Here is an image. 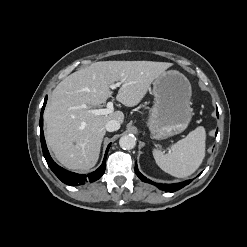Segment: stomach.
<instances>
[{
  "label": "stomach",
  "instance_id": "1",
  "mask_svg": "<svg viewBox=\"0 0 247 247\" xmlns=\"http://www.w3.org/2000/svg\"><path fill=\"white\" fill-rule=\"evenodd\" d=\"M191 84L179 71H164L153 81L154 105L147 125L154 139L184 131L192 118Z\"/></svg>",
  "mask_w": 247,
  "mask_h": 247
}]
</instances>
